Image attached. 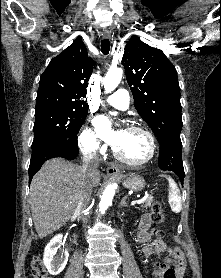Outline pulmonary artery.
I'll list each match as a JSON object with an SVG mask.
<instances>
[{
	"label": "pulmonary artery",
	"instance_id": "e3ab8cb5",
	"mask_svg": "<svg viewBox=\"0 0 221 278\" xmlns=\"http://www.w3.org/2000/svg\"><path fill=\"white\" fill-rule=\"evenodd\" d=\"M106 102L120 110H126L129 107V93L125 89H119L106 98Z\"/></svg>",
	"mask_w": 221,
	"mask_h": 278
}]
</instances>
